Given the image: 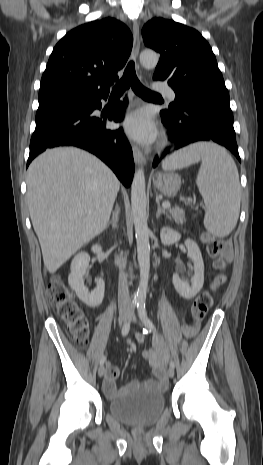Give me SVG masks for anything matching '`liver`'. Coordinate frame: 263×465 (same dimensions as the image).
I'll list each match as a JSON object with an SVG mask.
<instances>
[{
  "mask_svg": "<svg viewBox=\"0 0 263 465\" xmlns=\"http://www.w3.org/2000/svg\"><path fill=\"white\" fill-rule=\"evenodd\" d=\"M26 183L44 265L55 273L106 228L120 182L94 155L59 147L32 161Z\"/></svg>",
  "mask_w": 263,
  "mask_h": 465,
  "instance_id": "obj_1",
  "label": "liver"
}]
</instances>
